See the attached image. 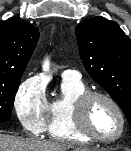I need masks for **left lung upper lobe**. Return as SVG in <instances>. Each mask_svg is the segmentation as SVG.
Listing matches in <instances>:
<instances>
[{
    "mask_svg": "<svg viewBox=\"0 0 131 151\" xmlns=\"http://www.w3.org/2000/svg\"><path fill=\"white\" fill-rule=\"evenodd\" d=\"M87 72L119 104L131 125V41L114 21L96 16L76 26Z\"/></svg>",
    "mask_w": 131,
    "mask_h": 151,
    "instance_id": "left-lung-upper-lobe-1",
    "label": "left lung upper lobe"
}]
</instances>
